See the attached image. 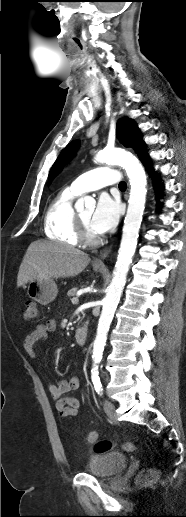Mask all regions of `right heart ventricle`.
<instances>
[{
  "label": "right heart ventricle",
  "instance_id": "e07e8e85",
  "mask_svg": "<svg viewBox=\"0 0 186 517\" xmlns=\"http://www.w3.org/2000/svg\"><path fill=\"white\" fill-rule=\"evenodd\" d=\"M78 194L71 187H66L50 202L44 219V230L48 238L69 246L79 244L77 213L72 204Z\"/></svg>",
  "mask_w": 186,
  "mask_h": 517
}]
</instances>
